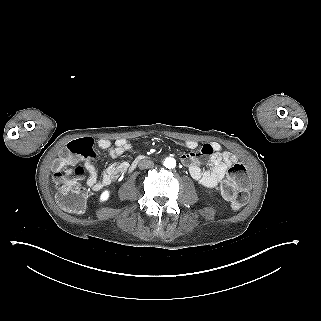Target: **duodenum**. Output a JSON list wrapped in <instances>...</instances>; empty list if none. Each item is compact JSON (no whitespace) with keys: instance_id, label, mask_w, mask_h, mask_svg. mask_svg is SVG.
Returning a JSON list of instances; mask_svg holds the SVG:
<instances>
[{"instance_id":"410a0bca","label":"duodenum","mask_w":321,"mask_h":321,"mask_svg":"<svg viewBox=\"0 0 321 321\" xmlns=\"http://www.w3.org/2000/svg\"><path fill=\"white\" fill-rule=\"evenodd\" d=\"M142 159H143V157H138V158L132 163V165H131V167H130V170H133V169L136 167V165L138 164V162L141 161Z\"/></svg>"}]
</instances>
